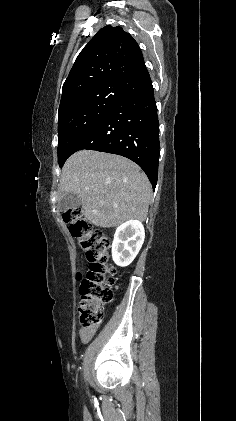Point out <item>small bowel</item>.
<instances>
[{
	"label": "small bowel",
	"instance_id": "small-bowel-1",
	"mask_svg": "<svg viewBox=\"0 0 236 421\" xmlns=\"http://www.w3.org/2000/svg\"><path fill=\"white\" fill-rule=\"evenodd\" d=\"M95 333V329L88 332H80V337L83 342H88Z\"/></svg>",
	"mask_w": 236,
	"mask_h": 421
}]
</instances>
